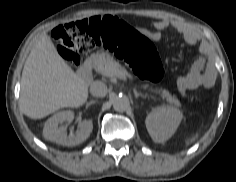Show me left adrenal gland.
<instances>
[{
    "mask_svg": "<svg viewBox=\"0 0 236 182\" xmlns=\"http://www.w3.org/2000/svg\"><path fill=\"white\" fill-rule=\"evenodd\" d=\"M133 92H134V95H135V99H138L139 97L145 98V97L148 96L147 94L138 93L135 88L133 89Z\"/></svg>",
    "mask_w": 236,
    "mask_h": 182,
    "instance_id": "1",
    "label": "left adrenal gland"
}]
</instances>
